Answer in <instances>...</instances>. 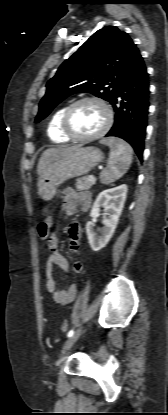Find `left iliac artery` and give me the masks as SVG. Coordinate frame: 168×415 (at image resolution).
<instances>
[{
	"label": "left iliac artery",
	"instance_id": "left-iliac-artery-1",
	"mask_svg": "<svg viewBox=\"0 0 168 415\" xmlns=\"http://www.w3.org/2000/svg\"><path fill=\"white\" fill-rule=\"evenodd\" d=\"M73 334H74V330L72 329V330H70V331L68 332L67 336H68V337H71Z\"/></svg>",
	"mask_w": 168,
	"mask_h": 415
}]
</instances>
